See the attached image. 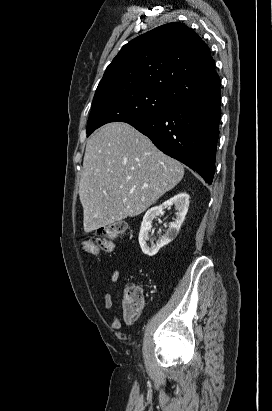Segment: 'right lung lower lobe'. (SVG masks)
<instances>
[{
	"mask_svg": "<svg viewBox=\"0 0 272 411\" xmlns=\"http://www.w3.org/2000/svg\"><path fill=\"white\" fill-rule=\"evenodd\" d=\"M220 101L219 85L129 124L149 137L159 150L186 164L211 184L219 138Z\"/></svg>",
	"mask_w": 272,
	"mask_h": 411,
	"instance_id": "1",
	"label": "right lung lower lobe"
}]
</instances>
